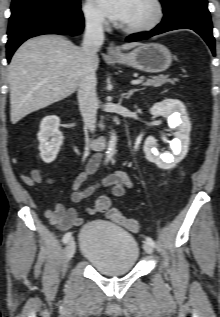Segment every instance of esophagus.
<instances>
[{
  "instance_id": "1",
  "label": "esophagus",
  "mask_w": 220,
  "mask_h": 317,
  "mask_svg": "<svg viewBox=\"0 0 220 317\" xmlns=\"http://www.w3.org/2000/svg\"><path fill=\"white\" fill-rule=\"evenodd\" d=\"M107 53L109 56H116L119 54V50L115 47L113 42H110Z\"/></svg>"
}]
</instances>
